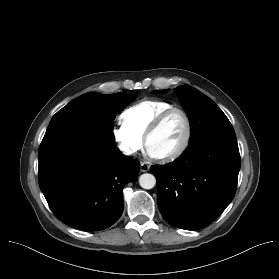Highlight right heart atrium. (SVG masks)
<instances>
[{"label": "right heart atrium", "mask_w": 279, "mask_h": 279, "mask_svg": "<svg viewBox=\"0 0 279 279\" xmlns=\"http://www.w3.org/2000/svg\"><path fill=\"white\" fill-rule=\"evenodd\" d=\"M112 136L118 149L127 156H133L144 146V140L123 122H117L112 128Z\"/></svg>", "instance_id": "right-heart-atrium-1"}]
</instances>
